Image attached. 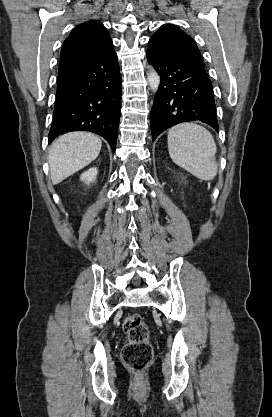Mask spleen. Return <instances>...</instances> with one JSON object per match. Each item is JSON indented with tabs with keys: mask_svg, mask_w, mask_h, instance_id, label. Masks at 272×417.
Wrapping results in <instances>:
<instances>
[{
	"mask_svg": "<svg viewBox=\"0 0 272 417\" xmlns=\"http://www.w3.org/2000/svg\"><path fill=\"white\" fill-rule=\"evenodd\" d=\"M168 151L175 164L195 177L210 181L217 175L216 143L211 133L194 123H182L168 132Z\"/></svg>",
	"mask_w": 272,
	"mask_h": 417,
	"instance_id": "spleen-1",
	"label": "spleen"
}]
</instances>
